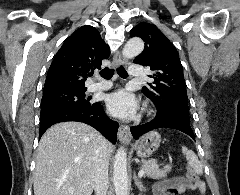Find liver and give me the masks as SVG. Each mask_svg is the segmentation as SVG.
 Returning <instances> with one entry per match:
<instances>
[{
  "instance_id": "obj_1",
  "label": "liver",
  "mask_w": 240,
  "mask_h": 195,
  "mask_svg": "<svg viewBox=\"0 0 240 195\" xmlns=\"http://www.w3.org/2000/svg\"><path fill=\"white\" fill-rule=\"evenodd\" d=\"M102 139L99 131L81 121L49 127L37 147L34 195H91ZM107 145L110 159L114 147Z\"/></svg>"
}]
</instances>
